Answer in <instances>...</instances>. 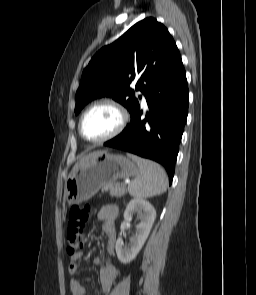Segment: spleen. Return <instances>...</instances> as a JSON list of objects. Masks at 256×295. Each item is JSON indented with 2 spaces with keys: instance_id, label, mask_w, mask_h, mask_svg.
Returning a JSON list of instances; mask_svg holds the SVG:
<instances>
[{
  "instance_id": "1",
  "label": "spleen",
  "mask_w": 256,
  "mask_h": 295,
  "mask_svg": "<svg viewBox=\"0 0 256 295\" xmlns=\"http://www.w3.org/2000/svg\"><path fill=\"white\" fill-rule=\"evenodd\" d=\"M140 169V176L136 177L129 185L128 191L136 198H149L164 193L167 189V175L157 163L128 154Z\"/></svg>"
}]
</instances>
